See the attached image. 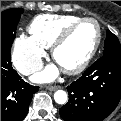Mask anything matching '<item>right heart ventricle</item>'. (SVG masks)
Masks as SVG:
<instances>
[{"mask_svg":"<svg viewBox=\"0 0 121 121\" xmlns=\"http://www.w3.org/2000/svg\"><path fill=\"white\" fill-rule=\"evenodd\" d=\"M80 19L76 15L45 14L35 17L29 25L32 37L43 47L52 46L58 35L71 23Z\"/></svg>","mask_w":121,"mask_h":121,"instance_id":"e07e8e85","label":"right heart ventricle"}]
</instances>
